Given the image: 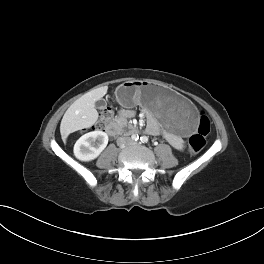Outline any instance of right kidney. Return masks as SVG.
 <instances>
[{"mask_svg": "<svg viewBox=\"0 0 264 264\" xmlns=\"http://www.w3.org/2000/svg\"><path fill=\"white\" fill-rule=\"evenodd\" d=\"M108 144V135L103 131H92L81 136L74 145V155L81 161L97 158Z\"/></svg>", "mask_w": 264, "mask_h": 264, "instance_id": "1", "label": "right kidney"}]
</instances>
